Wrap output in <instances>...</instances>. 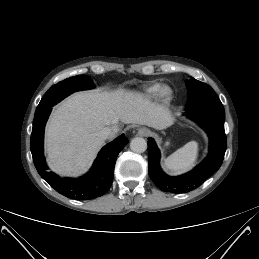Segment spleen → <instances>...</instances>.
Here are the masks:
<instances>
[{"mask_svg": "<svg viewBox=\"0 0 259 259\" xmlns=\"http://www.w3.org/2000/svg\"><path fill=\"white\" fill-rule=\"evenodd\" d=\"M197 156L198 143L196 141H190L168 156L164 161V166L172 172H185L194 166Z\"/></svg>", "mask_w": 259, "mask_h": 259, "instance_id": "obj_1", "label": "spleen"}]
</instances>
